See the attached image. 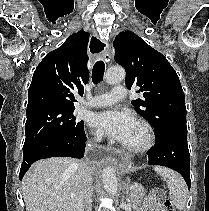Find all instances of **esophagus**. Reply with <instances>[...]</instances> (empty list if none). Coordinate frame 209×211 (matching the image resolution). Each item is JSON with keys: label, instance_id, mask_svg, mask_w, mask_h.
Segmentation results:
<instances>
[{"label": "esophagus", "instance_id": "obj_1", "mask_svg": "<svg viewBox=\"0 0 209 211\" xmlns=\"http://www.w3.org/2000/svg\"><path fill=\"white\" fill-rule=\"evenodd\" d=\"M90 50L92 56H102L109 63L111 59L109 42H100L96 37L91 38ZM125 151H118V147H91L87 159L89 163H124Z\"/></svg>", "mask_w": 209, "mask_h": 211}]
</instances>
